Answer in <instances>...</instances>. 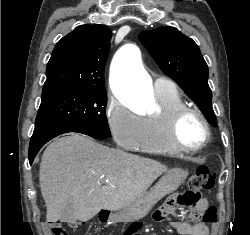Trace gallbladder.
I'll use <instances>...</instances> for the list:
<instances>
[{"instance_id": "1", "label": "gallbladder", "mask_w": 250, "mask_h": 235, "mask_svg": "<svg viewBox=\"0 0 250 235\" xmlns=\"http://www.w3.org/2000/svg\"><path fill=\"white\" fill-rule=\"evenodd\" d=\"M73 217V208L68 205L66 206V208L63 210V213H62V221L64 222H69L71 220V218Z\"/></svg>"}]
</instances>
